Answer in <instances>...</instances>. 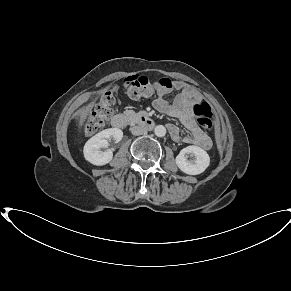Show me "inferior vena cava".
Masks as SVG:
<instances>
[{
	"label": "inferior vena cava",
	"instance_id": "obj_1",
	"mask_svg": "<svg viewBox=\"0 0 291 291\" xmlns=\"http://www.w3.org/2000/svg\"><path fill=\"white\" fill-rule=\"evenodd\" d=\"M130 130H131V133L133 135H136V136H138V135H144L148 131L147 128H145L143 126H133Z\"/></svg>",
	"mask_w": 291,
	"mask_h": 291
}]
</instances>
